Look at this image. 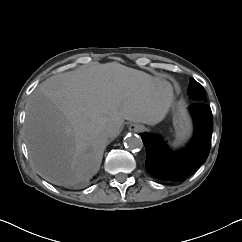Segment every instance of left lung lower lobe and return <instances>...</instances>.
Segmentation results:
<instances>
[{"label":"left lung lower lobe","instance_id":"obj_1","mask_svg":"<svg viewBox=\"0 0 242 242\" xmlns=\"http://www.w3.org/2000/svg\"><path fill=\"white\" fill-rule=\"evenodd\" d=\"M194 118V135L189 146L179 152L171 151L166 143L154 134L141 136L146 148V169L157 179L184 181L207 159L212 136V112L206 102L196 101L189 106Z\"/></svg>","mask_w":242,"mask_h":242}]
</instances>
